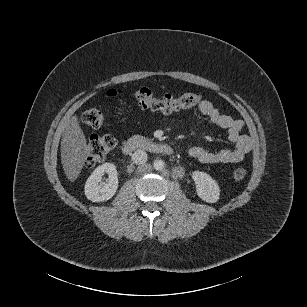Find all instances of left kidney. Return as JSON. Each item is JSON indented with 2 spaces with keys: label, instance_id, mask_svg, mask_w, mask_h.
Wrapping results in <instances>:
<instances>
[{
  "label": "left kidney",
  "instance_id": "obj_1",
  "mask_svg": "<svg viewBox=\"0 0 307 307\" xmlns=\"http://www.w3.org/2000/svg\"><path fill=\"white\" fill-rule=\"evenodd\" d=\"M197 196L206 203L215 204L220 199V186L208 173L195 170L191 173Z\"/></svg>",
  "mask_w": 307,
  "mask_h": 307
}]
</instances>
